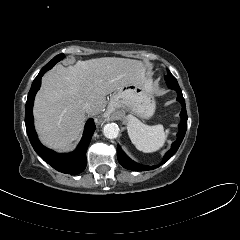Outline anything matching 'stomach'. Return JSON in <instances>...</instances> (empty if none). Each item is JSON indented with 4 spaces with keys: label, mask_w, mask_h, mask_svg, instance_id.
<instances>
[{
    "label": "stomach",
    "mask_w": 240,
    "mask_h": 240,
    "mask_svg": "<svg viewBox=\"0 0 240 240\" xmlns=\"http://www.w3.org/2000/svg\"><path fill=\"white\" fill-rule=\"evenodd\" d=\"M156 108L152 87L147 84L131 83L114 91L109 103V111L129 110L142 117L150 118Z\"/></svg>",
    "instance_id": "obj_1"
}]
</instances>
